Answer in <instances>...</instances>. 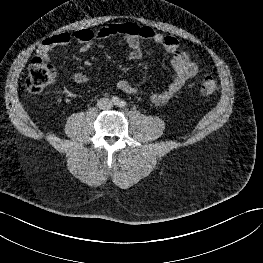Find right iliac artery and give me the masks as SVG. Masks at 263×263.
<instances>
[{
  "mask_svg": "<svg viewBox=\"0 0 263 263\" xmlns=\"http://www.w3.org/2000/svg\"><path fill=\"white\" fill-rule=\"evenodd\" d=\"M111 101H112V103L115 104V105H117V104L119 103L118 97H113Z\"/></svg>",
  "mask_w": 263,
  "mask_h": 263,
  "instance_id": "obj_1",
  "label": "right iliac artery"
}]
</instances>
